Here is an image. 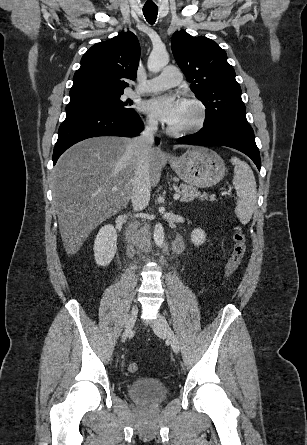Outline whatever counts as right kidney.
<instances>
[{
  "label": "right kidney",
  "instance_id": "1",
  "mask_svg": "<svg viewBox=\"0 0 307 445\" xmlns=\"http://www.w3.org/2000/svg\"><path fill=\"white\" fill-rule=\"evenodd\" d=\"M117 231L112 225L100 229L94 243V257L99 267L110 265L116 253Z\"/></svg>",
  "mask_w": 307,
  "mask_h": 445
}]
</instances>
